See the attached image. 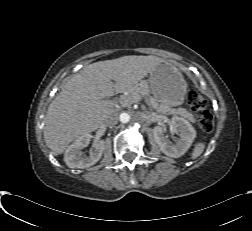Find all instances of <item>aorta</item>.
<instances>
[{
  "mask_svg": "<svg viewBox=\"0 0 252 231\" xmlns=\"http://www.w3.org/2000/svg\"><path fill=\"white\" fill-rule=\"evenodd\" d=\"M119 118L122 123H128L130 121V115L126 112L121 113Z\"/></svg>",
  "mask_w": 252,
  "mask_h": 231,
  "instance_id": "1",
  "label": "aorta"
}]
</instances>
